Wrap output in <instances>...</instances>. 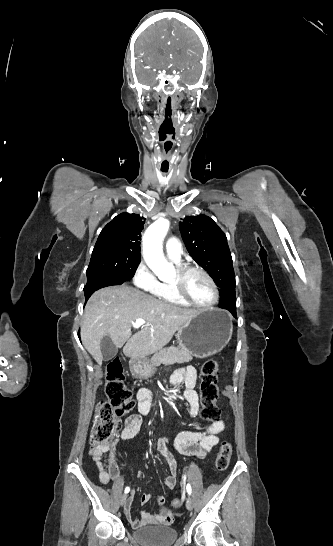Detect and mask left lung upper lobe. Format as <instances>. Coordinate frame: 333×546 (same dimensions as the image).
I'll use <instances>...</instances> for the list:
<instances>
[{"label": "left lung upper lobe", "instance_id": "5c2ea615", "mask_svg": "<svg viewBox=\"0 0 333 546\" xmlns=\"http://www.w3.org/2000/svg\"><path fill=\"white\" fill-rule=\"evenodd\" d=\"M179 228L191 257L219 287V306L236 307L235 274L225 233L206 215L185 217Z\"/></svg>", "mask_w": 333, "mask_h": 546}]
</instances>
